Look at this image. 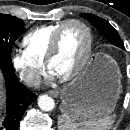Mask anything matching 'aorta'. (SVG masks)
<instances>
[{
  "mask_svg": "<svg viewBox=\"0 0 130 130\" xmlns=\"http://www.w3.org/2000/svg\"><path fill=\"white\" fill-rule=\"evenodd\" d=\"M38 106L43 111H52L54 109V100L48 95H41L38 98Z\"/></svg>",
  "mask_w": 130,
  "mask_h": 130,
  "instance_id": "1",
  "label": "aorta"
}]
</instances>
